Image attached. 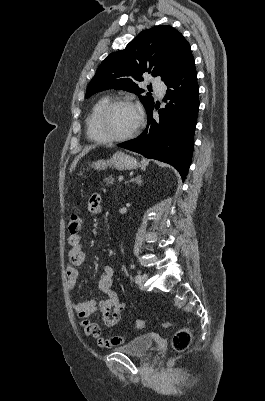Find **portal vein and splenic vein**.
I'll return each mask as SVG.
<instances>
[{"mask_svg":"<svg viewBox=\"0 0 265 401\" xmlns=\"http://www.w3.org/2000/svg\"><path fill=\"white\" fill-rule=\"evenodd\" d=\"M118 180H119V182H121V181L123 180V177H122V176H119V177H118Z\"/></svg>","mask_w":265,"mask_h":401,"instance_id":"1","label":"portal vein and splenic vein"}]
</instances>
